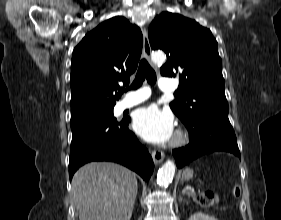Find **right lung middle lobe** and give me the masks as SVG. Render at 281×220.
<instances>
[{"label":"right lung middle lobe","mask_w":281,"mask_h":220,"mask_svg":"<svg viewBox=\"0 0 281 220\" xmlns=\"http://www.w3.org/2000/svg\"><path fill=\"white\" fill-rule=\"evenodd\" d=\"M102 119L117 123V120L113 116V108L100 113H95V114L71 119V129H74L81 125L98 122Z\"/></svg>","instance_id":"dd1d6c3e"}]
</instances>
